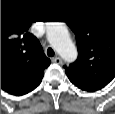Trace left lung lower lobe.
Instances as JSON below:
<instances>
[{"label":"left lung lower lobe","mask_w":115,"mask_h":114,"mask_svg":"<svg viewBox=\"0 0 115 114\" xmlns=\"http://www.w3.org/2000/svg\"><path fill=\"white\" fill-rule=\"evenodd\" d=\"M86 91H89V90H86ZM89 92H94V91H89Z\"/></svg>","instance_id":"obj_1"}]
</instances>
